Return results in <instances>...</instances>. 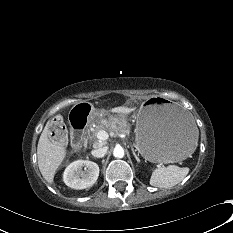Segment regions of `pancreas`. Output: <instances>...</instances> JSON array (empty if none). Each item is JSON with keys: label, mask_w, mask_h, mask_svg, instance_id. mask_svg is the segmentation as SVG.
Masks as SVG:
<instances>
[{"label": "pancreas", "mask_w": 233, "mask_h": 233, "mask_svg": "<svg viewBox=\"0 0 233 233\" xmlns=\"http://www.w3.org/2000/svg\"><path fill=\"white\" fill-rule=\"evenodd\" d=\"M103 129H106L110 132H113L115 135L119 134V133H128V126L124 123V124H121V125H115L114 123H111V122H108L107 124H101V125H98L97 127L95 128H92L91 129V135H89L90 139L96 143L97 141V132L99 130H103Z\"/></svg>", "instance_id": "pancreas-1"}]
</instances>
